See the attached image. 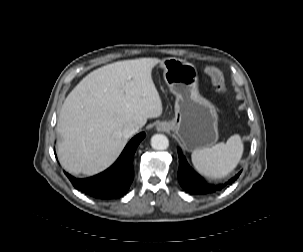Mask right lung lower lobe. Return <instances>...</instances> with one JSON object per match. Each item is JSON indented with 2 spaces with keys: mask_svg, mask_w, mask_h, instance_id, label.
Wrapping results in <instances>:
<instances>
[{
  "mask_svg": "<svg viewBox=\"0 0 303 252\" xmlns=\"http://www.w3.org/2000/svg\"><path fill=\"white\" fill-rule=\"evenodd\" d=\"M145 133L135 136L125 147L118 160L104 172L85 179H76L65 173L73 186L83 193L98 199H112L123 196L133 178V156Z\"/></svg>",
  "mask_w": 303,
  "mask_h": 252,
  "instance_id": "right-lung-lower-lobe-1",
  "label": "right lung lower lobe"
}]
</instances>
